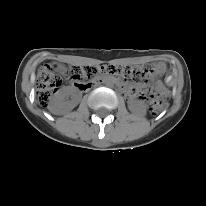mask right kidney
I'll return each instance as SVG.
<instances>
[{
	"mask_svg": "<svg viewBox=\"0 0 206 206\" xmlns=\"http://www.w3.org/2000/svg\"><path fill=\"white\" fill-rule=\"evenodd\" d=\"M73 95L72 100H68ZM79 96L70 89H62L56 93L50 101L49 110L55 114H63L72 110L78 103Z\"/></svg>",
	"mask_w": 206,
	"mask_h": 206,
	"instance_id": "obj_1",
	"label": "right kidney"
}]
</instances>
